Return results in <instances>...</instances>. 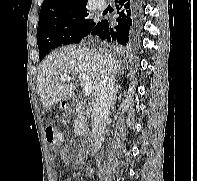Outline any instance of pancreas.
Listing matches in <instances>:
<instances>
[{
    "mask_svg": "<svg viewBox=\"0 0 197 181\" xmlns=\"http://www.w3.org/2000/svg\"><path fill=\"white\" fill-rule=\"evenodd\" d=\"M74 132L76 136L88 137L87 117L84 112H79L74 120Z\"/></svg>",
    "mask_w": 197,
    "mask_h": 181,
    "instance_id": "cf45deb5",
    "label": "pancreas"
}]
</instances>
